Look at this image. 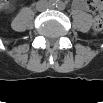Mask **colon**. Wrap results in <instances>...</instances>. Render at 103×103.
Segmentation results:
<instances>
[{
    "label": "colon",
    "instance_id": "1",
    "mask_svg": "<svg viewBox=\"0 0 103 103\" xmlns=\"http://www.w3.org/2000/svg\"><path fill=\"white\" fill-rule=\"evenodd\" d=\"M88 4H89V9L97 13V16L95 17L93 23V30L95 33H98L103 28L102 3L99 0H93L91 2H88Z\"/></svg>",
    "mask_w": 103,
    "mask_h": 103
}]
</instances>
